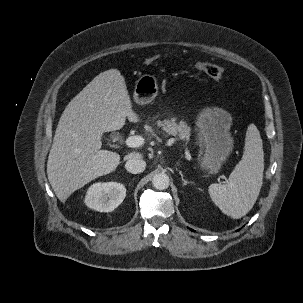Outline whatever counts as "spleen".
I'll list each match as a JSON object with an SVG mask.
<instances>
[{
  "mask_svg": "<svg viewBox=\"0 0 303 303\" xmlns=\"http://www.w3.org/2000/svg\"><path fill=\"white\" fill-rule=\"evenodd\" d=\"M264 152L257 127L247 128L244 154L226 184H211L209 194L220 210L234 218L245 216L255 204L263 184Z\"/></svg>",
  "mask_w": 303,
  "mask_h": 303,
  "instance_id": "3e777b00",
  "label": "spleen"
}]
</instances>
